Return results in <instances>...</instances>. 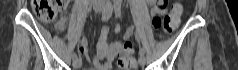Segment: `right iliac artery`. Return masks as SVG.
<instances>
[{"instance_id": "right-iliac-artery-1", "label": "right iliac artery", "mask_w": 238, "mask_h": 70, "mask_svg": "<svg viewBox=\"0 0 238 70\" xmlns=\"http://www.w3.org/2000/svg\"><path fill=\"white\" fill-rule=\"evenodd\" d=\"M112 11H113V7L111 4H109L102 13V21H107L111 17ZM72 57L73 59L77 58V54L74 53Z\"/></svg>"}]
</instances>
